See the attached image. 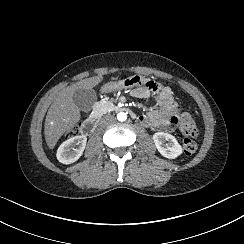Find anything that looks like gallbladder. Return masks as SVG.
Masks as SVG:
<instances>
[{
  "mask_svg": "<svg viewBox=\"0 0 244 244\" xmlns=\"http://www.w3.org/2000/svg\"><path fill=\"white\" fill-rule=\"evenodd\" d=\"M96 100H97L96 92L92 89L77 90L74 94V102H75L76 106L81 111L86 112V113H88L92 109Z\"/></svg>",
  "mask_w": 244,
  "mask_h": 244,
  "instance_id": "obj_1",
  "label": "gallbladder"
}]
</instances>
